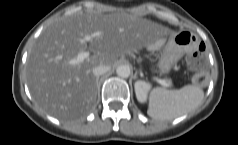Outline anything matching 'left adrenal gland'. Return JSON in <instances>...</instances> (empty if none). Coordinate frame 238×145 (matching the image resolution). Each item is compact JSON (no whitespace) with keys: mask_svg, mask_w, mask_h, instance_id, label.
<instances>
[{"mask_svg":"<svg viewBox=\"0 0 238 145\" xmlns=\"http://www.w3.org/2000/svg\"><path fill=\"white\" fill-rule=\"evenodd\" d=\"M137 75H138V72L135 73V77H137Z\"/></svg>","mask_w":238,"mask_h":145,"instance_id":"a2214340","label":"left adrenal gland"}]
</instances>
